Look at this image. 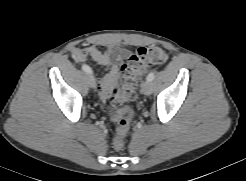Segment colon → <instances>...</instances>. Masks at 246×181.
<instances>
[{"label":"colon","mask_w":246,"mask_h":181,"mask_svg":"<svg viewBox=\"0 0 246 181\" xmlns=\"http://www.w3.org/2000/svg\"><path fill=\"white\" fill-rule=\"evenodd\" d=\"M167 57L168 51L160 46L141 47L123 66L121 86L112 89L107 99L112 119L117 124L113 138V147L116 150L123 148L133 117L132 109L123 104L136 99L139 80L147 68L165 63Z\"/></svg>","instance_id":"5ec220e1"}]
</instances>
